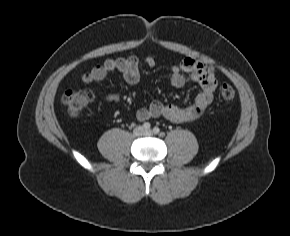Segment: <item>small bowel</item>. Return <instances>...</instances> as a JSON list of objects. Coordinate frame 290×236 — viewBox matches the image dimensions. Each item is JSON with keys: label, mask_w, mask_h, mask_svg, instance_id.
<instances>
[{"label": "small bowel", "mask_w": 290, "mask_h": 236, "mask_svg": "<svg viewBox=\"0 0 290 236\" xmlns=\"http://www.w3.org/2000/svg\"><path fill=\"white\" fill-rule=\"evenodd\" d=\"M144 63L148 67H153L155 61L152 57H147ZM112 71L120 72L128 84H136L140 80L139 59L134 55L126 58L107 59L103 64L95 66L83 74L82 81L85 84L98 82ZM190 81L201 87V91L190 105L180 107L155 101L147 107L138 109L136 118L139 121L150 118H164L174 123H187L199 119L213 100L216 89L214 68L192 58H185L179 65L172 66L170 82L173 86L183 87ZM105 98L108 102H119L117 92L109 93Z\"/></svg>", "instance_id": "small-bowel-1"}]
</instances>
